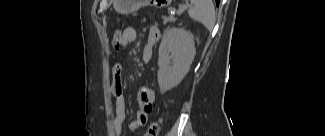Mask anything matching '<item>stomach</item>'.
<instances>
[{
    "label": "stomach",
    "instance_id": "stomach-1",
    "mask_svg": "<svg viewBox=\"0 0 325 136\" xmlns=\"http://www.w3.org/2000/svg\"><path fill=\"white\" fill-rule=\"evenodd\" d=\"M145 2L156 7H166L171 3V0H115L114 7L119 13L128 14L136 11Z\"/></svg>",
    "mask_w": 325,
    "mask_h": 136
}]
</instances>
